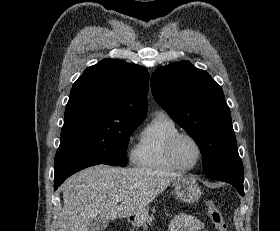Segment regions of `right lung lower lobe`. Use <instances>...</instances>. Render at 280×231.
I'll list each match as a JSON object with an SVG mask.
<instances>
[{"label": "right lung lower lobe", "mask_w": 280, "mask_h": 231, "mask_svg": "<svg viewBox=\"0 0 280 231\" xmlns=\"http://www.w3.org/2000/svg\"><path fill=\"white\" fill-rule=\"evenodd\" d=\"M101 164L96 161L79 159L75 157H55L54 190L65 181L70 175L90 166Z\"/></svg>", "instance_id": "right-lung-lower-lobe-1"}]
</instances>
